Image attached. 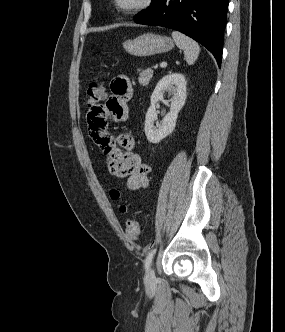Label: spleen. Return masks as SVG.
Masks as SVG:
<instances>
[{
	"label": "spleen",
	"instance_id": "3e777b00",
	"mask_svg": "<svg viewBox=\"0 0 285 332\" xmlns=\"http://www.w3.org/2000/svg\"><path fill=\"white\" fill-rule=\"evenodd\" d=\"M172 37L176 43V45L184 51L185 60L189 65L194 64L197 60L200 47L196 41L189 38L188 36L178 32L173 31Z\"/></svg>",
	"mask_w": 285,
	"mask_h": 332
}]
</instances>
